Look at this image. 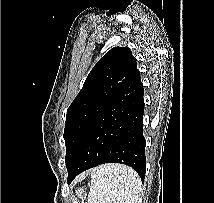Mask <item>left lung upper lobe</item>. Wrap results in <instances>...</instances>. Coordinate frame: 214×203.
<instances>
[{"instance_id": "1", "label": "left lung upper lobe", "mask_w": 214, "mask_h": 203, "mask_svg": "<svg viewBox=\"0 0 214 203\" xmlns=\"http://www.w3.org/2000/svg\"><path fill=\"white\" fill-rule=\"evenodd\" d=\"M136 71V59L128 47L111 49L93 67L83 88L67 109L64 130L67 167L73 161L93 121Z\"/></svg>"}]
</instances>
